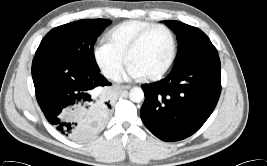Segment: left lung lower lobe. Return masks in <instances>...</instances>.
Listing matches in <instances>:
<instances>
[{
    "instance_id": "0a47b994",
    "label": "left lung lower lobe",
    "mask_w": 267,
    "mask_h": 166,
    "mask_svg": "<svg viewBox=\"0 0 267 166\" xmlns=\"http://www.w3.org/2000/svg\"><path fill=\"white\" fill-rule=\"evenodd\" d=\"M220 70L216 54L173 67L162 82L142 85L145 91L141 108L144 125L163 141H178L195 133L218 102Z\"/></svg>"
}]
</instances>
